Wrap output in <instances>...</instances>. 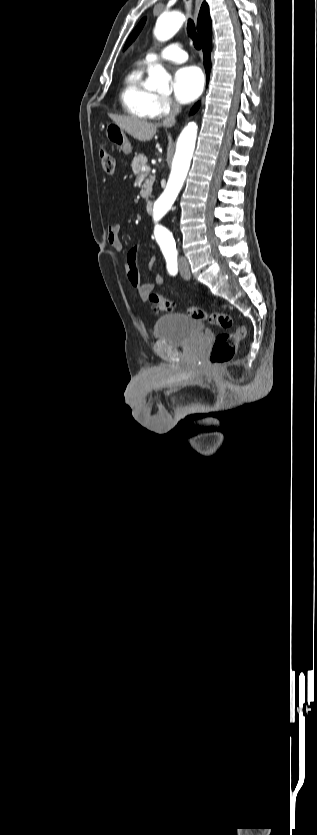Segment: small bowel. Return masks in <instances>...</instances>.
<instances>
[{"label": "small bowel", "mask_w": 317, "mask_h": 835, "mask_svg": "<svg viewBox=\"0 0 317 835\" xmlns=\"http://www.w3.org/2000/svg\"><path fill=\"white\" fill-rule=\"evenodd\" d=\"M106 241L110 247L116 251L123 250V244L120 239V226L117 223H112L108 226ZM137 248L134 247L129 250L127 254L126 272L130 284L136 288L141 296L147 295L154 288V284L150 282H142L137 268ZM156 265V260L151 259L148 262V268L153 271ZM156 285H163L164 278L161 273L157 272L154 277Z\"/></svg>", "instance_id": "obj_1"}]
</instances>
